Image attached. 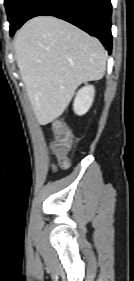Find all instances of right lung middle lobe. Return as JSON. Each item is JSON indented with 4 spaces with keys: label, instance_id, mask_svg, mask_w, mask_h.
<instances>
[{
    "label": "right lung middle lobe",
    "instance_id": "dd1d6c3e",
    "mask_svg": "<svg viewBox=\"0 0 134 281\" xmlns=\"http://www.w3.org/2000/svg\"><path fill=\"white\" fill-rule=\"evenodd\" d=\"M28 2L29 0H5L7 16L10 22V34L18 29Z\"/></svg>",
    "mask_w": 134,
    "mask_h": 281
}]
</instances>
